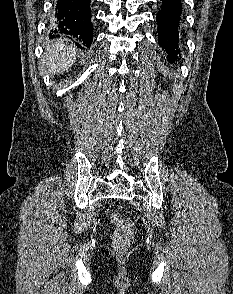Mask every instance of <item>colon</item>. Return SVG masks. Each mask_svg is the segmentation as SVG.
Wrapping results in <instances>:
<instances>
[{"label":"colon","mask_w":233,"mask_h":294,"mask_svg":"<svg viewBox=\"0 0 233 294\" xmlns=\"http://www.w3.org/2000/svg\"><path fill=\"white\" fill-rule=\"evenodd\" d=\"M110 220L116 227L113 232L114 246L120 250L126 249L133 242L134 232L132 225L116 211L111 212Z\"/></svg>","instance_id":"1"}]
</instances>
